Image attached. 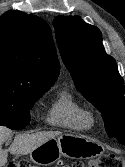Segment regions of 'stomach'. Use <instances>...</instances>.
<instances>
[{
	"mask_svg": "<svg viewBox=\"0 0 125 167\" xmlns=\"http://www.w3.org/2000/svg\"><path fill=\"white\" fill-rule=\"evenodd\" d=\"M103 151V146L91 138L78 134H61L35 148L30 153V160L35 164H52L62 156L92 158L101 155Z\"/></svg>",
	"mask_w": 125,
	"mask_h": 167,
	"instance_id": "stomach-1",
	"label": "stomach"
}]
</instances>
